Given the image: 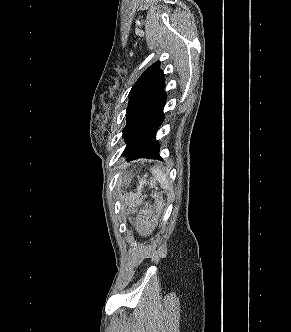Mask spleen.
Returning a JSON list of instances; mask_svg holds the SVG:
<instances>
[{"instance_id": "spleen-1", "label": "spleen", "mask_w": 291, "mask_h": 332, "mask_svg": "<svg viewBox=\"0 0 291 332\" xmlns=\"http://www.w3.org/2000/svg\"><path fill=\"white\" fill-rule=\"evenodd\" d=\"M151 172L156 181H158L162 188L167 189L170 187L168 175L163 172L159 167H152Z\"/></svg>"}]
</instances>
